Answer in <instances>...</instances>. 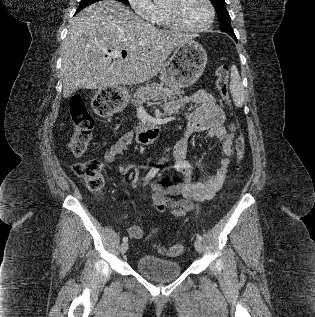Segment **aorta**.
<instances>
[{
	"label": "aorta",
	"instance_id": "1",
	"mask_svg": "<svg viewBox=\"0 0 315 317\" xmlns=\"http://www.w3.org/2000/svg\"><path fill=\"white\" fill-rule=\"evenodd\" d=\"M159 1H161V0H154V2H159Z\"/></svg>",
	"mask_w": 315,
	"mask_h": 317
}]
</instances>
